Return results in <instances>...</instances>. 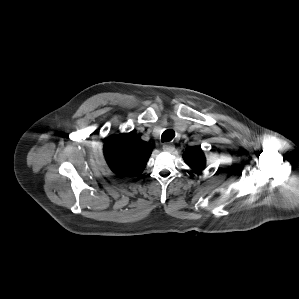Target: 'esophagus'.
Listing matches in <instances>:
<instances>
[{
    "instance_id": "1",
    "label": "esophagus",
    "mask_w": 299,
    "mask_h": 299,
    "mask_svg": "<svg viewBox=\"0 0 299 299\" xmlns=\"http://www.w3.org/2000/svg\"><path fill=\"white\" fill-rule=\"evenodd\" d=\"M174 146L170 143H166L163 145V151L171 153L174 150Z\"/></svg>"
}]
</instances>
